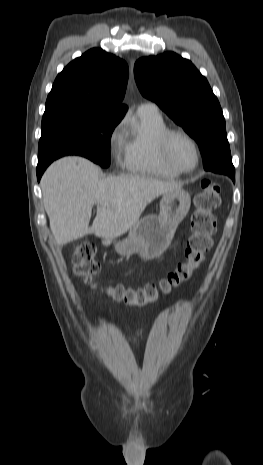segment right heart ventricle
<instances>
[{"instance_id":"e07e8e85","label":"right heart ventricle","mask_w":263,"mask_h":465,"mask_svg":"<svg viewBox=\"0 0 263 465\" xmlns=\"http://www.w3.org/2000/svg\"><path fill=\"white\" fill-rule=\"evenodd\" d=\"M168 126L160 113L139 111L123 139V164L133 174L176 178L179 173L163 162L159 140Z\"/></svg>"}]
</instances>
